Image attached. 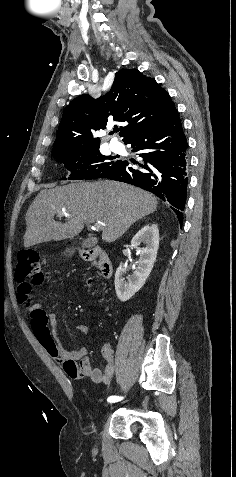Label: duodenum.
<instances>
[{"label":"duodenum","mask_w":236,"mask_h":477,"mask_svg":"<svg viewBox=\"0 0 236 477\" xmlns=\"http://www.w3.org/2000/svg\"><path fill=\"white\" fill-rule=\"evenodd\" d=\"M80 255L86 261H95L104 279L111 277L113 271L112 263L102 248L93 247L90 249H82Z\"/></svg>","instance_id":"duodenum-1"}]
</instances>
